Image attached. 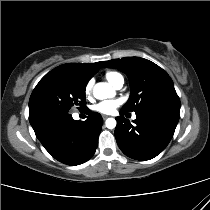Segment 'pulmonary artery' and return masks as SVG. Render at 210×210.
<instances>
[{
    "mask_svg": "<svg viewBox=\"0 0 210 210\" xmlns=\"http://www.w3.org/2000/svg\"><path fill=\"white\" fill-rule=\"evenodd\" d=\"M123 84H124V80H123V78H121L114 84V87L117 89H120V88H122Z\"/></svg>",
    "mask_w": 210,
    "mask_h": 210,
    "instance_id": "1",
    "label": "pulmonary artery"
}]
</instances>
